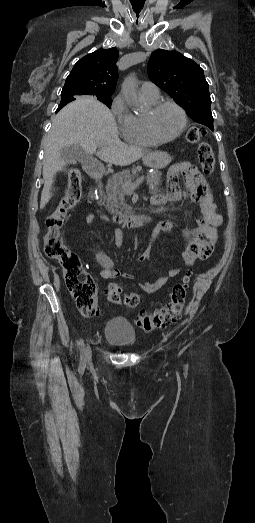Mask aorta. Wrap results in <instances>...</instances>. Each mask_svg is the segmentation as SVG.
I'll use <instances>...</instances> for the list:
<instances>
[{
    "label": "aorta",
    "mask_w": 255,
    "mask_h": 523,
    "mask_svg": "<svg viewBox=\"0 0 255 523\" xmlns=\"http://www.w3.org/2000/svg\"><path fill=\"white\" fill-rule=\"evenodd\" d=\"M122 93L129 105L139 107L138 94L136 89V78L134 75L128 76L122 84Z\"/></svg>",
    "instance_id": "1"
}]
</instances>
